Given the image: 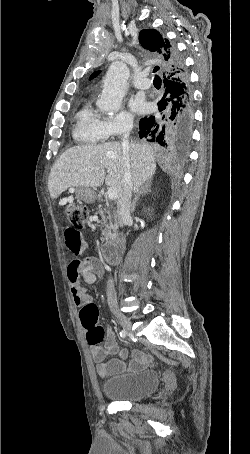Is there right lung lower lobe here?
I'll use <instances>...</instances> for the list:
<instances>
[{
  "label": "right lung lower lobe",
  "instance_id": "obj_1",
  "mask_svg": "<svg viewBox=\"0 0 250 454\" xmlns=\"http://www.w3.org/2000/svg\"><path fill=\"white\" fill-rule=\"evenodd\" d=\"M172 72L163 75L164 94L158 111L139 122L140 138L177 149L188 144L193 124L192 93L183 58L170 44Z\"/></svg>",
  "mask_w": 250,
  "mask_h": 454
}]
</instances>
